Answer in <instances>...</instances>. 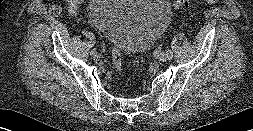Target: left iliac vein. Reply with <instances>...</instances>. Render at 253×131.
Instances as JSON below:
<instances>
[{"mask_svg":"<svg viewBox=\"0 0 253 131\" xmlns=\"http://www.w3.org/2000/svg\"><path fill=\"white\" fill-rule=\"evenodd\" d=\"M172 51L169 53V54H166V53H159L158 57L161 61H167L168 59H170L172 57Z\"/></svg>","mask_w":253,"mask_h":131,"instance_id":"obj_1","label":"left iliac vein"}]
</instances>
